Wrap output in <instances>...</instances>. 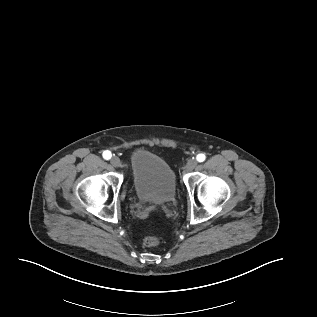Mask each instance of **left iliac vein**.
<instances>
[{
	"label": "left iliac vein",
	"instance_id": "obj_1",
	"mask_svg": "<svg viewBox=\"0 0 317 317\" xmlns=\"http://www.w3.org/2000/svg\"><path fill=\"white\" fill-rule=\"evenodd\" d=\"M197 166V161L195 159H190L187 161L185 169L187 171H192Z\"/></svg>",
	"mask_w": 317,
	"mask_h": 317
}]
</instances>
